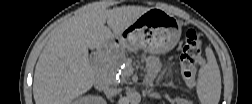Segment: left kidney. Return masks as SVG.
I'll list each match as a JSON object with an SVG mask.
<instances>
[{
    "label": "left kidney",
    "instance_id": "obj_1",
    "mask_svg": "<svg viewBox=\"0 0 252 104\" xmlns=\"http://www.w3.org/2000/svg\"><path fill=\"white\" fill-rule=\"evenodd\" d=\"M177 104H186L188 103V101H186L185 99H181V98H176L175 99Z\"/></svg>",
    "mask_w": 252,
    "mask_h": 104
}]
</instances>
